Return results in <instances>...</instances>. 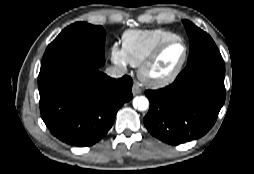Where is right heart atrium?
Masks as SVG:
<instances>
[{
    "label": "right heart atrium",
    "mask_w": 254,
    "mask_h": 174,
    "mask_svg": "<svg viewBox=\"0 0 254 174\" xmlns=\"http://www.w3.org/2000/svg\"><path fill=\"white\" fill-rule=\"evenodd\" d=\"M110 58L111 61L122 68H126L128 66V61L124 54V51L118 44H113L110 48Z\"/></svg>",
    "instance_id": "1"
}]
</instances>
